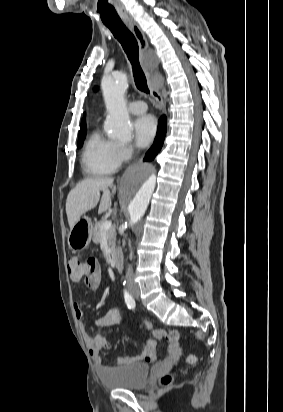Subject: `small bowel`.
<instances>
[{
    "instance_id": "1",
    "label": "small bowel",
    "mask_w": 283,
    "mask_h": 412,
    "mask_svg": "<svg viewBox=\"0 0 283 412\" xmlns=\"http://www.w3.org/2000/svg\"><path fill=\"white\" fill-rule=\"evenodd\" d=\"M102 282V273L100 266L97 263V268L94 272H90L84 276V283L86 287L92 291L97 290ZM74 312L81 322V328L84 334L85 341L90 349V354L98 366L99 372L102 374L104 373L109 366L104 362L101 351L107 350L110 348V343L107 339L101 335L100 333L91 334L88 328V325L83 321L85 318V313L82 309L80 303H74ZM123 310L120 307H114L108 310L105 314L99 316L94 321V326L97 329L100 328H109L116 324H118L123 317ZM146 329L151 330L153 335L156 338H161L164 334L161 330H152V324L149 321L143 322ZM181 354V348L177 343H170L168 346V360H176ZM155 359V343L153 340H148L142 352L135 356H128V357H118L117 364L119 365H127L130 363L136 362H151Z\"/></svg>"
}]
</instances>
